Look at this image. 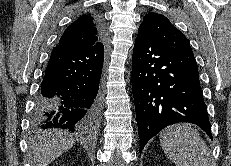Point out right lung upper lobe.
Listing matches in <instances>:
<instances>
[{"instance_id":"obj_1","label":"right lung upper lobe","mask_w":231,"mask_h":166,"mask_svg":"<svg viewBox=\"0 0 231 166\" xmlns=\"http://www.w3.org/2000/svg\"><path fill=\"white\" fill-rule=\"evenodd\" d=\"M102 22L92 14H84L71 23L62 34L58 45L66 47H90L103 42Z\"/></svg>"}]
</instances>
